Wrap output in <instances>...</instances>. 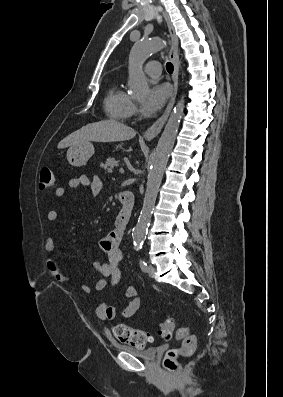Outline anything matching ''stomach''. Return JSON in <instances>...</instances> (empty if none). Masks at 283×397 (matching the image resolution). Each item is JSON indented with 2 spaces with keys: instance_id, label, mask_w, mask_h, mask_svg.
<instances>
[{
  "instance_id": "obj_1",
  "label": "stomach",
  "mask_w": 283,
  "mask_h": 397,
  "mask_svg": "<svg viewBox=\"0 0 283 397\" xmlns=\"http://www.w3.org/2000/svg\"><path fill=\"white\" fill-rule=\"evenodd\" d=\"M94 154V146L91 142H83L71 146L67 151V160L69 164L75 167H81L87 163V161Z\"/></svg>"
}]
</instances>
